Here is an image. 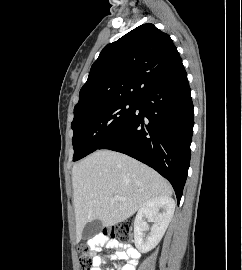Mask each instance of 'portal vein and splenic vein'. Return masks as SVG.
Segmentation results:
<instances>
[{"label": "portal vein and splenic vein", "instance_id": "obj_1", "mask_svg": "<svg viewBox=\"0 0 242 270\" xmlns=\"http://www.w3.org/2000/svg\"><path fill=\"white\" fill-rule=\"evenodd\" d=\"M114 199H115V200H122V201H123V200H125L126 198L121 197V196H119V195H115V196H114Z\"/></svg>", "mask_w": 242, "mask_h": 270}]
</instances>
